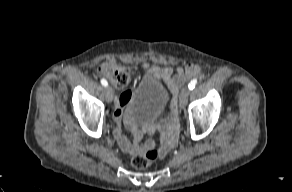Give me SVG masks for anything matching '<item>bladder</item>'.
Listing matches in <instances>:
<instances>
[{"instance_id": "obj_1", "label": "bladder", "mask_w": 292, "mask_h": 192, "mask_svg": "<svg viewBox=\"0 0 292 192\" xmlns=\"http://www.w3.org/2000/svg\"><path fill=\"white\" fill-rule=\"evenodd\" d=\"M169 98L168 89L159 79L147 77L131 93L128 115L135 122L154 120L164 112Z\"/></svg>"}]
</instances>
